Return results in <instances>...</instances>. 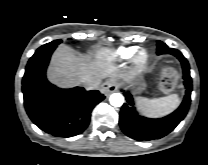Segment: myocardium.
<instances>
[{
  "mask_svg": "<svg viewBox=\"0 0 208 165\" xmlns=\"http://www.w3.org/2000/svg\"><path fill=\"white\" fill-rule=\"evenodd\" d=\"M135 60L139 64H144L148 60V53L146 50H139L135 56Z\"/></svg>",
  "mask_w": 208,
  "mask_h": 165,
  "instance_id": "myocardium-1",
  "label": "myocardium"
}]
</instances>
